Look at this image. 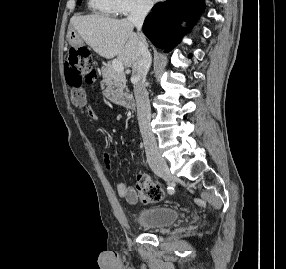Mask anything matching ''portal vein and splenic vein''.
Returning <instances> with one entry per match:
<instances>
[{"label": "portal vein and splenic vein", "mask_w": 286, "mask_h": 269, "mask_svg": "<svg viewBox=\"0 0 286 269\" xmlns=\"http://www.w3.org/2000/svg\"><path fill=\"white\" fill-rule=\"evenodd\" d=\"M112 66H113L115 71H118V72L124 71L123 63L118 59H115L112 61Z\"/></svg>", "instance_id": "1"}]
</instances>
